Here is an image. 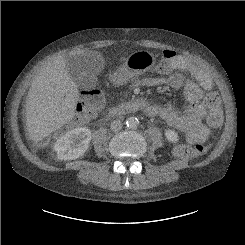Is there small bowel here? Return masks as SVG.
<instances>
[{
	"label": "small bowel",
	"mask_w": 245,
	"mask_h": 245,
	"mask_svg": "<svg viewBox=\"0 0 245 245\" xmlns=\"http://www.w3.org/2000/svg\"><path fill=\"white\" fill-rule=\"evenodd\" d=\"M169 53H174L167 56ZM165 65L162 73L165 76L142 80L148 85H164L173 89L184 87L185 98L188 102L183 111L177 110L172 103L162 106L153 105L145 110L149 116H160L165 122L184 133L191 143L204 141L210 136V127L203 124L204 117H210L212 110L203 103L205 93L213 90V80L210 74L202 67L192 62L184 55L167 50L163 52ZM188 72L193 81L184 83L181 72ZM217 110L221 113L218 106Z\"/></svg>",
	"instance_id": "1"
}]
</instances>
